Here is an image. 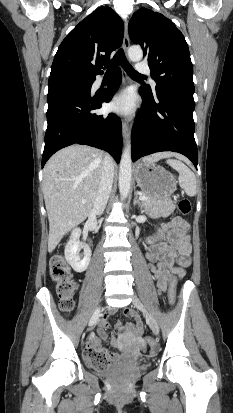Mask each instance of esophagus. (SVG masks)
Returning a JSON list of instances; mask_svg holds the SVG:
<instances>
[{
  "mask_svg": "<svg viewBox=\"0 0 233 413\" xmlns=\"http://www.w3.org/2000/svg\"><path fill=\"white\" fill-rule=\"evenodd\" d=\"M129 47H130V39H129V34H128V22L126 20L124 23V39H123L124 51L127 52ZM122 134H123L124 142L127 144L130 139L131 130H130L129 125L125 121H122Z\"/></svg>",
  "mask_w": 233,
  "mask_h": 413,
  "instance_id": "34e87169",
  "label": "esophagus"
}]
</instances>
